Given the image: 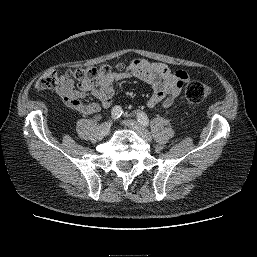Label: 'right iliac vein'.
<instances>
[{
  "label": "right iliac vein",
  "mask_w": 257,
  "mask_h": 257,
  "mask_svg": "<svg viewBox=\"0 0 257 257\" xmlns=\"http://www.w3.org/2000/svg\"><path fill=\"white\" fill-rule=\"evenodd\" d=\"M112 128V122H104L99 126L98 137L105 138L109 135Z\"/></svg>",
  "instance_id": "obj_1"
}]
</instances>
